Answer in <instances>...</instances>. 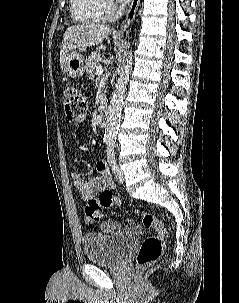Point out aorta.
I'll return each mask as SVG.
<instances>
[{"label":"aorta","mask_w":239,"mask_h":303,"mask_svg":"<svg viewBox=\"0 0 239 303\" xmlns=\"http://www.w3.org/2000/svg\"><path fill=\"white\" fill-rule=\"evenodd\" d=\"M131 69L132 54H127L122 61L119 78L115 85V90L106 115L104 134V140L106 142L114 143L116 141L124 104V94L129 81Z\"/></svg>","instance_id":"762f6f07"}]
</instances>
